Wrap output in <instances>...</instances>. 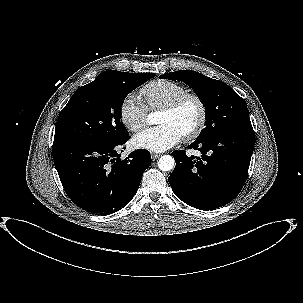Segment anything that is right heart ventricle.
<instances>
[{
    "mask_svg": "<svg viewBox=\"0 0 303 303\" xmlns=\"http://www.w3.org/2000/svg\"><path fill=\"white\" fill-rule=\"evenodd\" d=\"M141 93L145 97L147 108L157 110L187 93V89L179 83L159 79L146 84Z\"/></svg>",
    "mask_w": 303,
    "mask_h": 303,
    "instance_id": "1",
    "label": "right heart ventricle"
}]
</instances>
